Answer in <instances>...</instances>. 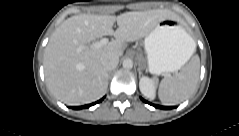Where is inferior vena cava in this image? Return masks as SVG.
I'll list each match as a JSON object with an SVG mask.
<instances>
[{"mask_svg":"<svg viewBox=\"0 0 239 136\" xmlns=\"http://www.w3.org/2000/svg\"><path fill=\"white\" fill-rule=\"evenodd\" d=\"M119 58L117 56H108L102 59V65L107 71H111L117 67Z\"/></svg>","mask_w":239,"mask_h":136,"instance_id":"602c4592","label":"inferior vena cava"}]
</instances>
